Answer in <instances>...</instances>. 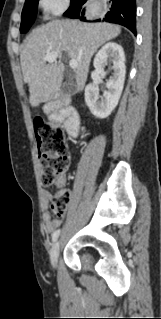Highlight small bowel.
Here are the masks:
<instances>
[{
    "mask_svg": "<svg viewBox=\"0 0 161 319\" xmlns=\"http://www.w3.org/2000/svg\"><path fill=\"white\" fill-rule=\"evenodd\" d=\"M66 184V177L61 176L58 181H57V187L62 188ZM52 199V195L50 192L45 191L43 193V208H44V213H43V222L45 225V230L48 233H52L55 231L61 224V221L59 219H51L50 213L47 211V207L49 202Z\"/></svg>",
    "mask_w": 161,
    "mask_h": 319,
    "instance_id": "1",
    "label": "small bowel"
}]
</instances>
